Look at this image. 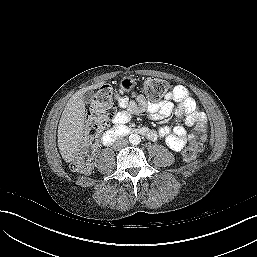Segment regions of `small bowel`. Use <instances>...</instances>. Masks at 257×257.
<instances>
[{
	"label": "small bowel",
	"instance_id": "obj_1",
	"mask_svg": "<svg viewBox=\"0 0 257 257\" xmlns=\"http://www.w3.org/2000/svg\"><path fill=\"white\" fill-rule=\"evenodd\" d=\"M132 100L125 96L117 97L118 110L113 116V124H127L133 113L147 110L150 114L165 118L172 114L174 105H178L175 110L177 118H184L185 124L203 127L206 123V116L198 109L196 101L191 97L186 87L182 85L174 86L167 94L166 99L162 102H148L141 94H132ZM158 136L165 138L166 143L173 150H181L185 144L193 139V135L189 134L183 125L177 124L172 129L168 127L161 128L158 132H151L150 139H156Z\"/></svg>",
	"mask_w": 257,
	"mask_h": 257
}]
</instances>
